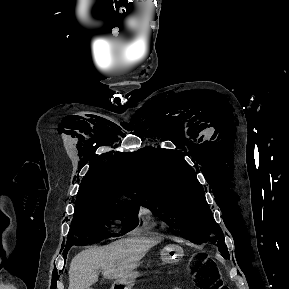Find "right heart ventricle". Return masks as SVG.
I'll use <instances>...</instances> for the list:
<instances>
[{
    "label": "right heart ventricle",
    "instance_id": "e07e8e85",
    "mask_svg": "<svg viewBox=\"0 0 289 289\" xmlns=\"http://www.w3.org/2000/svg\"><path fill=\"white\" fill-rule=\"evenodd\" d=\"M144 216H145V219L148 223L153 224V225L156 224L154 217L152 216V214L149 211H145Z\"/></svg>",
    "mask_w": 289,
    "mask_h": 289
}]
</instances>
